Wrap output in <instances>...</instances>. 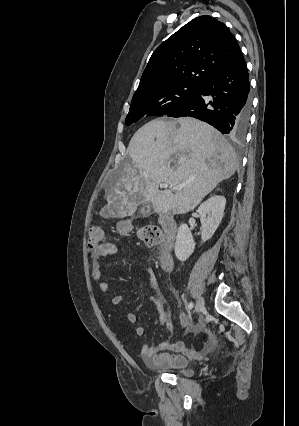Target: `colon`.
I'll list each match as a JSON object with an SVG mask.
<instances>
[{"label": "colon", "mask_w": 299, "mask_h": 426, "mask_svg": "<svg viewBox=\"0 0 299 426\" xmlns=\"http://www.w3.org/2000/svg\"><path fill=\"white\" fill-rule=\"evenodd\" d=\"M140 239L147 245L154 246L160 244L163 235L156 225H147L139 231ZM88 247L93 250L107 243V236L100 226H90L87 238Z\"/></svg>", "instance_id": "1"}]
</instances>
